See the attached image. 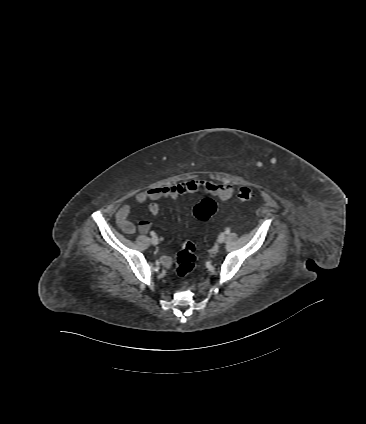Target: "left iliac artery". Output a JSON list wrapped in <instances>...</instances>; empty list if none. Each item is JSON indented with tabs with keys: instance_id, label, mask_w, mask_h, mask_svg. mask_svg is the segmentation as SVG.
Wrapping results in <instances>:
<instances>
[{
	"instance_id": "1",
	"label": "left iliac artery",
	"mask_w": 366,
	"mask_h": 424,
	"mask_svg": "<svg viewBox=\"0 0 366 424\" xmlns=\"http://www.w3.org/2000/svg\"><path fill=\"white\" fill-rule=\"evenodd\" d=\"M225 233H226V234H229V233H230V229H229V228H227V229L225 230Z\"/></svg>"
}]
</instances>
